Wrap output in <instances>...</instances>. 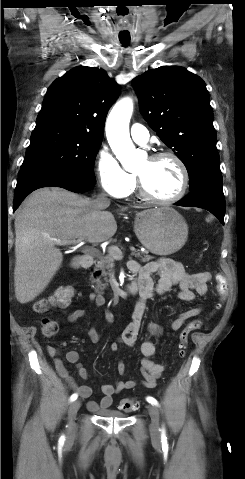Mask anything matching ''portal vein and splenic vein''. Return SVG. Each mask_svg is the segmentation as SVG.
<instances>
[{
	"mask_svg": "<svg viewBox=\"0 0 245 479\" xmlns=\"http://www.w3.org/2000/svg\"><path fill=\"white\" fill-rule=\"evenodd\" d=\"M55 240L58 244H62V245H65V244H68V245H76L77 243H79L80 241H82L83 239H79V240H69V241H66L65 243H61L59 240L57 239H53ZM129 249L131 252H135L136 249L134 246H129ZM109 254L114 258V259H122L123 258V252L122 250L117 247V246H111L109 247Z\"/></svg>",
	"mask_w": 245,
	"mask_h": 479,
	"instance_id": "portal-vein-and-splenic-vein-1",
	"label": "portal vein and splenic vein"
}]
</instances>
